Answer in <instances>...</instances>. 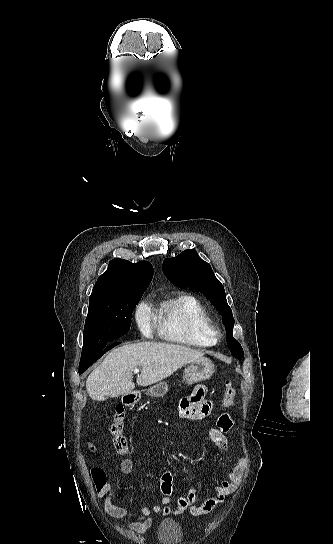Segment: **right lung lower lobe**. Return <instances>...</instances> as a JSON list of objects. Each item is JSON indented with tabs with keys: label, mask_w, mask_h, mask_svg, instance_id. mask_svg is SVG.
<instances>
[{
	"label": "right lung lower lobe",
	"mask_w": 333,
	"mask_h": 544,
	"mask_svg": "<svg viewBox=\"0 0 333 544\" xmlns=\"http://www.w3.org/2000/svg\"><path fill=\"white\" fill-rule=\"evenodd\" d=\"M117 344H118V343L113 344L112 348H113L114 346H116ZM99 358H100V357H99ZM99 358H96V359L90 361V362H89L88 364H86L85 366L79 368V374H82L88 367H90V366H91L96 360H98Z\"/></svg>",
	"instance_id": "right-lung-lower-lobe-1"
}]
</instances>
